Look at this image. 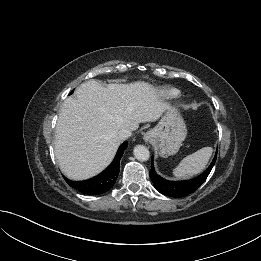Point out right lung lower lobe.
<instances>
[{
  "mask_svg": "<svg viewBox=\"0 0 261 261\" xmlns=\"http://www.w3.org/2000/svg\"><path fill=\"white\" fill-rule=\"evenodd\" d=\"M127 146V141L120 145L113 162L99 175L85 181H71L64 177L65 181L74 189L88 195H99L110 190L118 177L120 159Z\"/></svg>",
  "mask_w": 261,
  "mask_h": 261,
  "instance_id": "obj_1",
  "label": "right lung lower lobe"
}]
</instances>
